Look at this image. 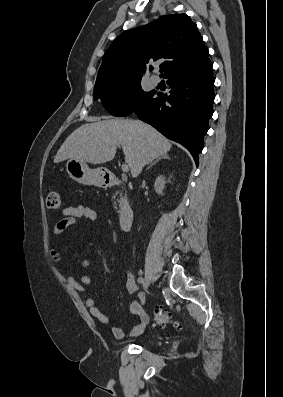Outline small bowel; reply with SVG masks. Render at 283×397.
Listing matches in <instances>:
<instances>
[{"mask_svg": "<svg viewBox=\"0 0 283 397\" xmlns=\"http://www.w3.org/2000/svg\"><path fill=\"white\" fill-rule=\"evenodd\" d=\"M60 215L61 218L54 224L52 230V233L55 236L61 235L68 228L74 226L77 219L84 218L90 221H95L98 218V213L96 210L82 203L63 208L60 212ZM49 255L55 264L62 262L63 256L58 248H52L49 252ZM80 265L82 268H88L91 265V262L88 259H84L81 261ZM67 282L76 291L84 292L86 290V286H89L93 283V279L87 275H83L79 279L70 276L68 277ZM126 289L130 294H136L139 290V286L136 283L135 277L131 271L127 272ZM144 303L145 295L138 294L137 299L132 301L130 304V313L132 315L138 316L140 321L139 324L130 331V336H138L141 334L148 322V316L143 309ZM85 305L90 315L96 318L99 322L105 325H109L111 323L110 318L98 308L96 300L93 297H87L85 299ZM112 333L117 339H123L127 335L126 331L120 326L113 327Z\"/></svg>", "mask_w": 283, "mask_h": 397, "instance_id": "c3829d8e", "label": "small bowel"}]
</instances>
